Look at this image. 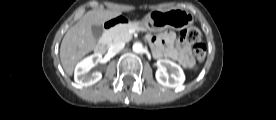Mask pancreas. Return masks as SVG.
<instances>
[{
    "instance_id": "1",
    "label": "pancreas",
    "mask_w": 276,
    "mask_h": 120,
    "mask_svg": "<svg viewBox=\"0 0 276 120\" xmlns=\"http://www.w3.org/2000/svg\"><path fill=\"white\" fill-rule=\"evenodd\" d=\"M131 28L145 31V29L139 26L138 23L117 25L114 28L108 30L106 34L108 44L129 41L132 38V35L129 33Z\"/></svg>"
}]
</instances>
